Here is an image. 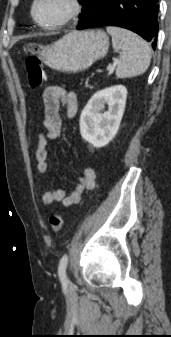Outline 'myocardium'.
Returning a JSON list of instances; mask_svg holds the SVG:
<instances>
[{
  "instance_id": "1",
  "label": "myocardium",
  "mask_w": 171,
  "mask_h": 337,
  "mask_svg": "<svg viewBox=\"0 0 171 337\" xmlns=\"http://www.w3.org/2000/svg\"><path fill=\"white\" fill-rule=\"evenodd\" d=\"M40 0H33L32 6H31V16L33 21L40 27L48 30H56L60 29L62 27H65L68 25L70 22H72L75 18H77L83 10V3L82 0H67L69 4V11L67 15L59 22L56 23H44L40 21L36 17V7Z\"/></svg>"
}]
</instances>
